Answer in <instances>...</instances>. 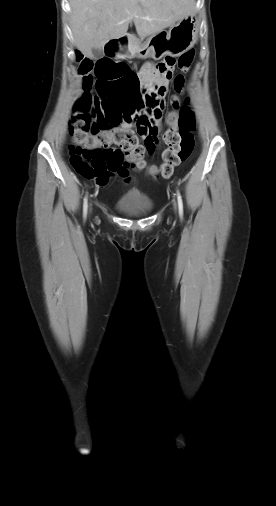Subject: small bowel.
I'll return each instance as SVG.
<instances>
[{"mask_svg":"<svg viewBox=\"0 0 276 506\" xmlns=\"http://www.w3.org/2000/svg\"><path fill=\"white\" fill-rule=\"evenodd\" d=\"M158 65L159 64H154L151 62L146 63L141 70L142 72L141 81L143 82V85L162 87L164 88L166 93L169 85V79L165 74L161 73L158 70ZM163 110H164V101L162 100L160 106L156 109L151 120L152 121L151 132L153 135H158L160 131ZM122 126L128 127L127 124H123ZM142 135L145 137L146 134ZM122 161L123 160L120 158L112 157L108 162L106 172L103 173L101 176L95 178L96 185L100 188L105 187L114 173H119L120 175L127 177V171L122 166Z\"/></svg>","mask_w":276,"mask_h":506,"instance_id":"small-bowel-1","label":"small bowel"}]
</instances>
